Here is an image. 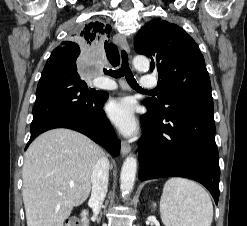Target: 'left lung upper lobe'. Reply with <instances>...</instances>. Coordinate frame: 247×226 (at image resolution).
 <instances>
[{
    "mask_svg": "<svg viewBox=\"0 0 247 226\" xmlns=\"http://www.w3.org/2000/svg\"><path fill=\"white\" fill-rule=\"evenodd\" d=\"M137 53L151 59L159 76L158 99L144 104L162 112L173 94L188 89L211 90L204 57L196 42L179 26L160 19L145 24L134 39Z\"/></svg>",
    "mask_w": 247,
    "mask_h": 226,
    "instance_id": "5c2ea615",
    "label": "left lung upper lobe"
}]
</instances>
